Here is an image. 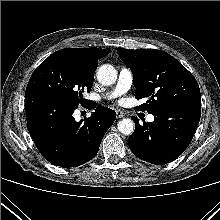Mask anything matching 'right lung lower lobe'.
Listing matches in <instances>:
<instances>
[{"label":"right lung lower lobe","mask_w":220,"mask_h":220,"mask_svg":"<svg viewBox=\"0 0 220 220\" xmlns=\"http://www.w3.org/2000/svg\"><path fill=\"white\" fill-rule=\"evenodd\" d=\"M25 108L27 128L40 153L65 168L93 159L116 119L113 110L98 106L91 117L76 122L72 114L77 106L46 95L25 96Z\"/></svg>","instance_id":"right-lung-lower-lobe-1"}]
</instances>
